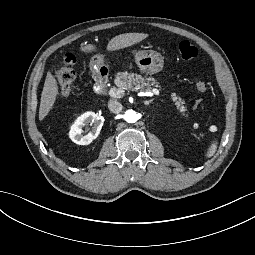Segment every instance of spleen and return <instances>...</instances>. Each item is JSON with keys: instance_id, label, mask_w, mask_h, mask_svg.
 <instances>
[{"instance_id": "obj_1", "label": "spleen", "mask_w": 255, "mask_h": 255, "mask_svg": "<svg viewBox=\"0 0 255 255\" xmlns=\"http://www.w3.org/2000/svg\"><path fill=\"white\" fill-rule=\"evenodd\" d=\"M218 148V139L217 138H213L210 143L208 144L205 152H204V158L205 159H210L215 152L217 151Z\"/></svg>"}]
</instances>
